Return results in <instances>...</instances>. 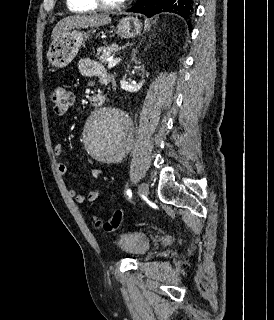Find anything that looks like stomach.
<instances>
[{
    "label": "stomach",
    "mask_w": 274,
    "mask_h": 320,
    "mask_svg": "<svg viewBox=\"0 0 274 320\" xmlns=\"http://www.w3.org/2000/svg\"><path fill=\"white\" fill-rule=\"evenodd\" d=\"M116 34L121 38H135L140 36L142 32V24L138 18L126 16L120 20L116 30ZM85 32L78 30H66L58 36L57 40L52 42L48 52V60L54 68H65L68 66L75 56H77L81 46H84V38H88Z\"/></svg>",
    "instance_id": "stomach-1"
}]
</instances>
